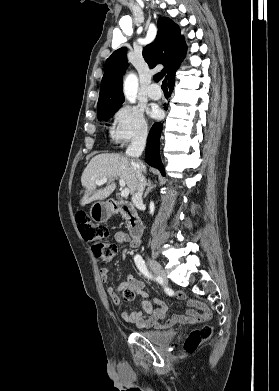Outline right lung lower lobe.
<instances>
[{
    "instance_id": "obj_1",
    "label": "right lung lower lobe",
    "mask_w": 279,
    "mask_h": 391,
    "mask_svg": "<svg viewBox=\"0 0 279 391\" xmlns=\"http://www.w3.org/2000/svg\"><path fill=\"white\" fill-rule=\"evenodd\" d=\"M174 88V82L169 84V92L171 93ZM162 124L161 123H155L153 127L151 128L149 135H148V141H147V147H146V162L159 169L160 172L165 175L164 167L161 163L160 155H159V141H160V134L162 131Z\"/></svg>"
}]
</instances>
